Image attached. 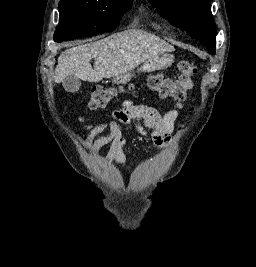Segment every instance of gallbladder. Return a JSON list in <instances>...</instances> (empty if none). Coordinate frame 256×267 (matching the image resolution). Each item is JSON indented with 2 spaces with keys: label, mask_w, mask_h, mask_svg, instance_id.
<instances>
[{
  "label": "gallbladder",
  "mask_w": 256,
  "mask_h": 267,
  "mask_svg": "<svg viewBox=\"0 0 256 267\" xmlns=\"http://www.w3.org/2000/svg\"><path fill=\"white\" fill-rule=\"evenodd\" d=\"M62 86L66 92H71V94H75V92H78L80 86H81V80L80 78H77V76H67L65 80L62 82Z\"/></svg>",
  "instance_id": "bac80fb5"
}]
</instances>
